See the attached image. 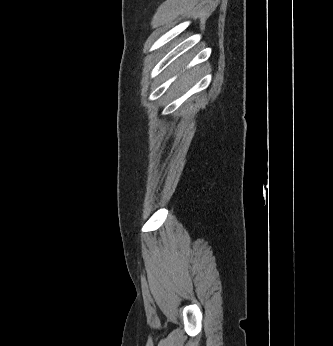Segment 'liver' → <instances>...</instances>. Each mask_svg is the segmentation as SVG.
I'll use <instances>...</instances> for the list:
<instances>
[{"label":"liver","mask_w":333,"mask_h":346,"mask_svg":"<svg viewBox=\"0 0 333 346\" xmlns=\"http://www.w3.org/2000/svg\"><path fill=\"white\" fill-rule=\"evenodd\" d=\"M189 80H191V76L189 75V73L184 74L183 76H181L179 78V80L177 81L176 85H181L182 83H186Z\"/></svg>","instance_id":"1"}]
</instances>
